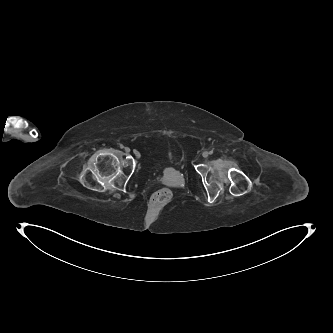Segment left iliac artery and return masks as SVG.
Here are the masks:
<instances>
[{"label":"left iliac artery","instance_id":"1","mask_svg":"<svg viewBox=\"0 0 333 333\" xmlns=\"http://www.w3.org/2000/svg\"><path fill=\"white\" fill-rule=\"evenodd\" d=\"M209 154H213V151L211 150V151H209Z\"/></svg>","mask_w":333,"mask_h":333}]
</instances>
